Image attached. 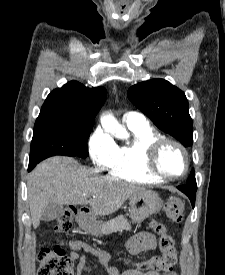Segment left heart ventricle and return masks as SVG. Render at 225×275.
<instances>
[{
	"label": "left heart ventricle",
	"instance_id": "b2bd125f",
	"mask_svg": "<svg viewBox=\"0 0 225 275\" xmlns=\"http://www.w3.org/2000/svg\"><path fill=\"white\" fill-rule=\"evenodd\" d=\"M159 164L161 170L169 175L180 174L184 168V160L181 152L172 145L167 146L160 155Z\"/></svg>",
	"mask_w": 225,
	"mask_h": 275
}]
</instances>
